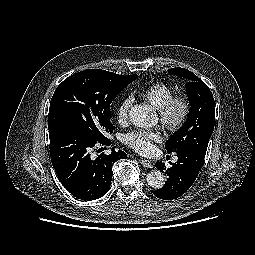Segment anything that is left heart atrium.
I'll use <instances>...</instances> for the list:
<instances>
[{
    "mask_svg": "<svg viewBox=\"0 0 255 255\" xmlns=\"http://www.w3.org/2000/svg\"><path fill=\"white\" fill-rule=\"evenodd\" d=\"M160 139L158 131L134 130L125 134L123 142L135 151L146 154L152 150V143Z\"/></svg>",
    "mask_w": 255,
    "mask_h": 255,
    "instance_id": "39dd6f15",
    "label": "left heart atrium"
}]
</instances>
